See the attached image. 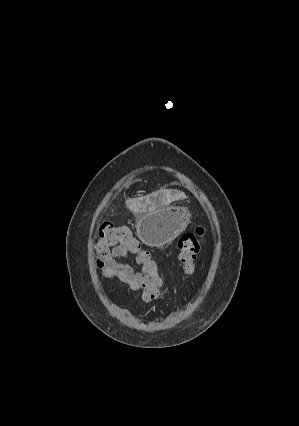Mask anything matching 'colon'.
Segmentation results:
<instances>
[{
	"label": "colon",
	"instance_id": "5ec220e1",
	"mask_svg": "<svg viewBox=\"0 0 299 426\" xmlns=\"http://www.w3.org/2000/svg\"><path fill=\"white\" fill-rule=\"evenodd\" d=\"M203 243L204 229L202 227L183 234L179 239L178 259L187 276L192 275L195 271L196 258ZM116 247L126 249L143 266L144 273L140 289L142 299L149 303L159 302L164 297L162 279L158 263L153 259L151 252L143 247L128 227L105 222L99 228V239L95 244L98 264L100 265L111 249Z\"/></svg>",
	"mask_w": 299,
	"mask_h": 426
}]
</instances>
